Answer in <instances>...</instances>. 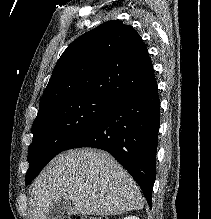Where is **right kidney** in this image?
<instances>
[{
	"label": "right kidney",
	"instance_id": "ca27d5eb",
	"mask_svg": "<svg viewBox=\"0 0 211 219\" xmlns=\"http://www.w3.org/2000/svg\"><path fill=\"white\" fill-rule=\"evenodd\" d=\"M123 219H139V218L136 217V216H128V217H125V218H123Z\"/></svg>",
	"mask_w": 211,
	"mask_h": 219
}]
</instances>
